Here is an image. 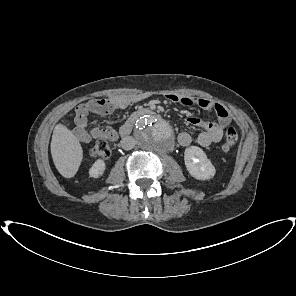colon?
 <instances>
[{
  "label": "colon",
  "instance_id": "5ec220e1",
  "mask_svg": "<svg viewBox=\"0 0 296 296\" xmlns=\"http://www.w3.org/2000/svg\"><path fill=\"white\" fill-rule=\"evenodd\" d=\"M238 140V131L234 126L226 130L224 141L221 145L223 151H228ZM112 154L111 147L106 139L98 140L90 149V155L94 158L108 159Z\"/></svg>",
  "mask_w": 296,
  "mask_h": 296
}]
</instances>
